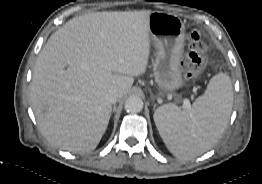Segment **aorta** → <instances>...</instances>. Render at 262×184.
Listing matches in <instances>:
<instances>
[{
    "label": "aorta",
    "instance_id": "1",
    "mask_svg": "<svg viewBox=\"0 0 262 184\" xmlns=\"http://www.w3.org/2000/svg\"><path fill=\"white\" fill-rule=\"evenodd\" d=\"M124 108L129 113H138L143 109V101L138 96H130L125 101Z\"/></svg>",
    "mask_w": 262,
    "mask_h": 184
}]
</instances>
